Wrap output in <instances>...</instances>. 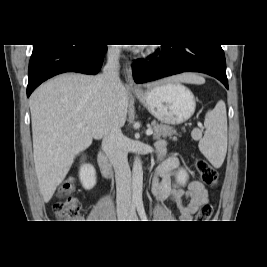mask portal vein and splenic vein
Wrapping results in <instances>:
<instances>
[{"mask_svg": "<svg viewBox=\"0 0 267 267\" xmlns=\"http://www.w3.org/2000/svg\"><path fill=\"white\" fill-rule=\"evenodd\" d=\"M81 125H82V124L80 123L79 126H81ZM146 134H147L148 136L152 135V134H153V130H152V129H148V130L146 131Z\"/></svg>", "mask_w": 267, "mask_h": 267, "instance_id": "1", "label": "portal vein and splenic vein"}]
</instances>
